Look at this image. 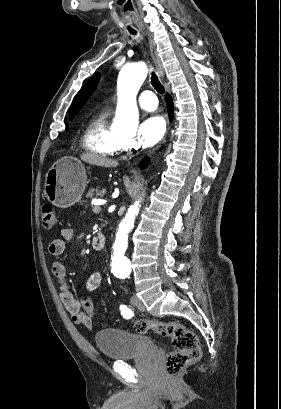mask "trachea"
Wrapping results in <instances>:
<instances>
[{"mask_svg":"<svg viewBox=\"0 0 281 409\" xmlns=\"http://www.w3.org/2000/svg\"><path fill=\"white\" fill-rule=\"evenodd\" d=\"M131 33H132V35H136V32H131ZM151 84L158 93H160V94L165 93V89H164L163 85L161 84V82L159 81V79H158L155 72L151 73Z\"/></svg>","mask_w":281,"mask_h":409,"instance_id":"3493384b","label":"trachea"}]
</instances>
